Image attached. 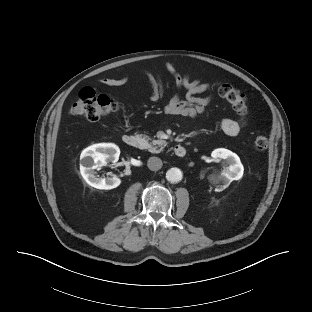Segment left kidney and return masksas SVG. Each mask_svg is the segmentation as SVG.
<instances>
[{
  "mask_svg": "<svg viewBox=\"0 0 312 312\" xmlns=\"http://www.w3.org/2000/svg\"><path fill=\"white\" fill-rule=\"evenodd\" d=\"M211 156L214 160L223 159L226 168L220 174H213L211 180L218 185L217 191H221L229 186L233 180H239L243 176L244 167L237 154L224 148L212 151Z\"/></svg>",
  "mask_w": 312,
  "mask_h": 312,
  "instance_id": "left-kidney-1",
  "label": "left kidney"
}]
</instances>
